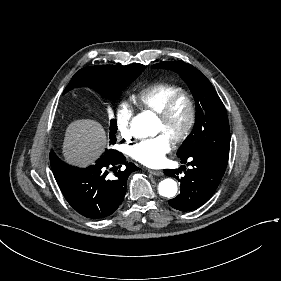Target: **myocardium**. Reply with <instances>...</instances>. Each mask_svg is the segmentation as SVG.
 <instances>
[{
    "instance_id": "myocardium-1",
    "label": "myocardium",
    "mask_w": 281,
    "mask_h": 281,
    "mask_svg": "<svg viewBox=\"0 0 281 281\" xmlns=\"http://www.w3.org/2000/svg\"><path fill=\"white\" fill-rule=\"evenodd\" d=\"M180 101L185 102L187 106L188 115L186 123L182 130L178 133L170 134L168 136V138L174 143L184 141L190 135L194 127L196 121V107L192 97L187 93H180L174 95L166 101V103L160 110L154 112L155 117L162 123H165L168 120L175 105Z\"/></svg>"
}]
</instances>
